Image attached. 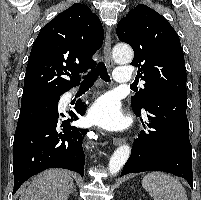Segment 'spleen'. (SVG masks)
<instances>
[{
  "instance_id": "3e777b00",
  "label": "spleen",
  "mask_w": 201,
  "mask_h": 200,
  "mask_svg": "<svg viewBox=\"0 0 201 200\" xmlns=\"http://www.w3.org/2000/svg\"><path fill=\"white\" fill-rule=\"evenodd\" d=\"M142 186L154 200H188L182 184L166 173H148L142 180Z\"/></svg>"
}]
</instances>
